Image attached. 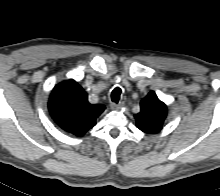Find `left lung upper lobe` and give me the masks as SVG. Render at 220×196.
Segmentation results:
<instances>
[{
	"label": "left lung upper lobe",
	"mask_w": 220,
	"mask_h": 196,
	"mask_svg": "<svg viewBox=\"0 0 220 196\" xmlns=\"http://www.w3.org/2000/svg\"><path fill=\"white\" fill-rule=\"evenodd\" d=\"M141 111L134 115L136 127L147 134H156L162 129L167 116V106L151 91L141 103Z\"/></svg>",
	"instance_id": "1"
}]
</instances>
